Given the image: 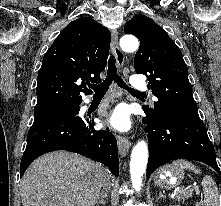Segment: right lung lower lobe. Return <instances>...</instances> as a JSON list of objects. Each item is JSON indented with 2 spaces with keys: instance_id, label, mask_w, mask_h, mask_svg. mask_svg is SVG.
I'll use <instances>...</instances> for the list:
<instances>
[{
  "instance_id": "1",
  "label": "right lung lower lobe",
  "mask_w": 221,
  "mask_h": 206,
  "mask_svg": "<svg viewBox=\"0 0 221 206\" xmlns=\"http://www.w3.org/2000/svg\"><path fill=\"white\" fill-rule=\"evenodd\" d=\"M94 125L93 119H82L77 114L35 121L28 132L20 177L37 157L56 150L90 157L106 165L117 176L119 159L116 139L109 129L95 130Z\"/></svg>"
}]
</instances>
